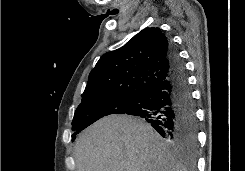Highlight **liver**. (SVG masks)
Listing matches in <instances>:
<instances>
[{
	"instance_id": "obj_1",
	"label": "liver",
	"mask_w": 245,
	"mask_h": 171,
	"mask_svg": "<svg viewBox=\"0 0 245 171\" xmlns=\"http://www.w3.org/2000/svg\"><path fill=\"white\" fill-rule=\"evenodd\" d=\"M77 171H186L160 135L127 115L104 117L77 138Z\"/></svg>"
}]
</instances>
